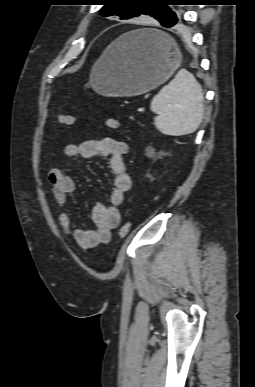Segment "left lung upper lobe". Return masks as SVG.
Segmentation results:
<instances>
[{
  "label": "left lung upper lobe",
  "mask_w": 255,
  "mask_h": 387,
  "mask_svg": "<svg viewBox=\"0 0 255 387\" xmlns=\"http://www.w3.org/2000/svg\"><path fill=\"white\" fill-rule=\"evenodd\" d=\"M106 2L100 13L102 16H119L130 19L150 15L166 24L177 15L163 2L168 0H102Z\"/></svg>",
  "instance_id": "1"
}]
</instances>
